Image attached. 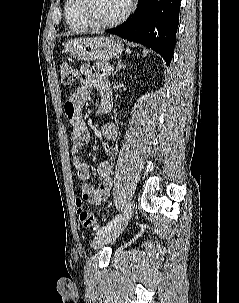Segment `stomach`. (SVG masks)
Listing matches in <instances>:
<instances>
[{"label":"stomach","instance_id":"0dacf381","mask_svg":"<svg viewBox=\"0 0 239 303\" xmlns=\"http://www.w3.org/2000/svg\"><path fill=\"white\" fill-rule=\"evenodd\" d=\"M65 50L77 60L108 62L122 54L124 45L112 37L76 38L68 41Z\"/></svg>","mask_w":239,"mask_h":303}]
</instances>
